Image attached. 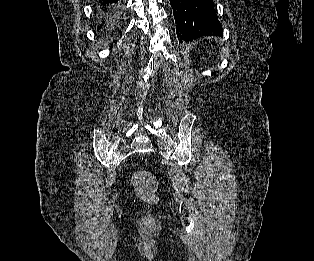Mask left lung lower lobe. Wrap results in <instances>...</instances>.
I'll list each match as a JSON object with an SVG mask.
<instances>
[{
  "label": "left lung lower lobe",
  "instance_id": "obj_1",
  "mask_svg": "<svg viewBox=\"0 0 314 261\" xmlns=\"http://www.w3.org/2000/svg\"><path fill=\"white\" fill-rule=\"evenodd\" d=\"M170 3L180 42L201 36L222 35L213 0H170Z\"/></svg>",
  "mask_w": 314,
  "mask_h": 261
}]
</instances>
